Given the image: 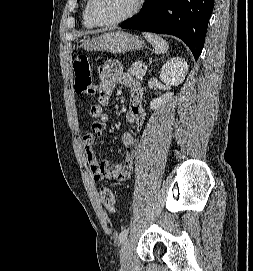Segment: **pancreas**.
I'll return each instance as SVG.
<instances>
[{"mask_svg":"<svg viewBox=\"0 0 253 271\" xmlns=\"http://www.w3.org/2000/svg\"><path fill=\"white\" fill-rule=\"evenodd\" d=\"M128 73L135 76L137 79H143L146 74V67L139 66L138 62H134L128 69Z\"/></svg>","mask_w":253,"mask_h":271,"instance_id":"obj_1","label":"pancreas"}]
</instances>
